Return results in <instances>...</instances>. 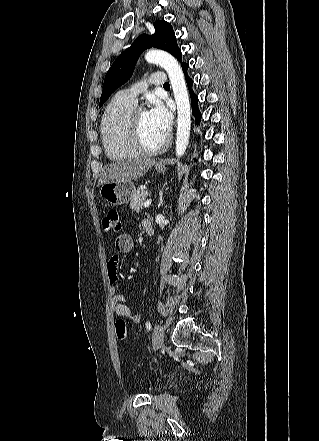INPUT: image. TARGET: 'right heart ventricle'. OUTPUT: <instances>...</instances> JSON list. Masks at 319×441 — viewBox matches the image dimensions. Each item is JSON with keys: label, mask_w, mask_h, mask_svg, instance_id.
<instances>
[{"label": "right heart ventricle", "mask_w": 319, "mask_h": 441, "mask_svg": "<svg viewBox=\"0 0 319 441\" xmlns=\"http://www.w3.org/2000/svg\"><path fill=\"white\" fill-rule=\"evenodd\" d=\"M135 106L136 103L118 94L105 109L100 134L105 152L112 160L131 159L138 155L128 137L129 119Z\"/></svg>", "instance_id": "e07e8e85"}]
</instances>
